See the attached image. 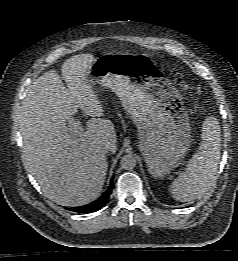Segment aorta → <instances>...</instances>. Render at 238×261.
I'll return each instance as SVG.
<instances>
[{
  "instance_id": "aorta-1",
  "label": "aorta",
  "mask_w": 238,
  "mask_h": 261,
  "mask_svg": "<svg viewBox=\"0 0 238 261\" xmlns=\"http://www.w3.org/2000/svg\"><path fill=\"white\" fill-rule=\"evenodd\" d=\"M120 165L125 170H132L136 166V158L134 155L127 154L121 158Z\"/></svg>"
}]
</instances>
